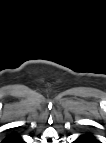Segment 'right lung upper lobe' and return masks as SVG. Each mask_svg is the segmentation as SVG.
I'll use <instances>...</instances> for the list:
<instances>
[{"mask_svg":"<svg viewBox=\"0 0 106 143\" xmlns=\"http://www.w3.org/2000/svg\"><path fill=\"white\" fill-rule=\"evenodd\" d=\"M17 141H20L17 133L10 134L4 139V143H17Z\"/></svg>","mask_w":106,"mask_h":143,"instance_id":"1","label":"right lung upper lobe"}]
</instances>
